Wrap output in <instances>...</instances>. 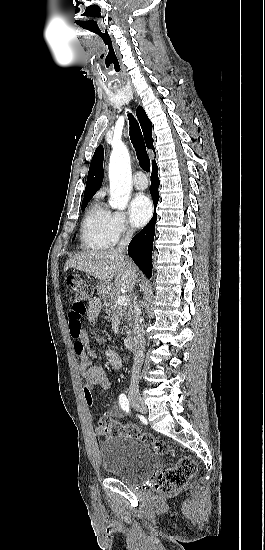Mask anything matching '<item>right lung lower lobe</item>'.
<instances>
[{
  "instance_id": "1",
  "label": "right lung lower lobe",
  "mask_w": 265,
  "mask_h": 550,
  "mask_svg": "<svg viewBox=\"0 0 265 550\" xmlns=\"http://www.w3.org/2000/svg\"><path fill=\"white\" fill-rule=\"evenodd\" d=\"M158 167L154 162L152 165L151 174V195L154 207L157 206L159 200V179L157 176ZM157 214H153L150 222L131 240L128 246V254L133 259L135 264L150 278L152 275V244L155 234V223Z\"/></svg>"
}]
</instances>
